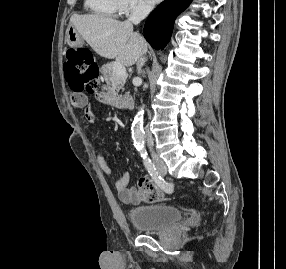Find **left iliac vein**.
<instances>
[{
    "label": "left iliac vein",
    "instance_id": "4c4485c4",
    "mask_svg": "<svg viewBox=\"0 0 286 269\" xmlns=\"http://www.w3.org/2000/svg\"><path fill=\"white\" fill-rule=\"evenodd\" d=\"M165 173H166V170H163V171H162V174H165Z\"/></svg>",
    "mask_w": 286,
    "mask_h": 269
}]
</instances>
